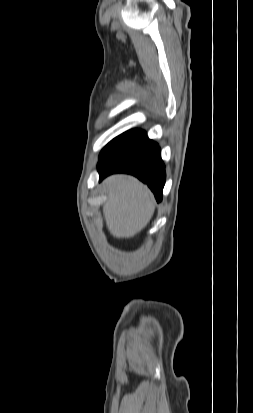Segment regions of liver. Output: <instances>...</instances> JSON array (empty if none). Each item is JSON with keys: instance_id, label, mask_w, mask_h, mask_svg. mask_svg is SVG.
Returning <instances> with one entry per match:
<instances>
[{"instance_id": "liver-1", "label": "liver", "mask_w": 253, "mask_h": 413, "mask_svg": "<svg viewBox=\"0 0 253 413\" xmlns=\"http://www.w3.org/2000/svg\"><path fill=\"white\" fill-rule=\"evenodd\" d=\"M108 199L103 214L110 233L116 238H130L139 233L154 214L151 191L129 175H112L103 182Z\"/></svg>"}]
</instances>
